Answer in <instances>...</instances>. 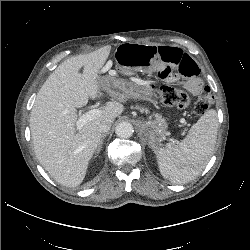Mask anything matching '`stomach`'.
<instances>
[{"label": "stomach", "instance_id": "obj_1", "mask_svg": "<svg viewBox=\"0 0 250 250\" xmlns=\"http://www.w3.org/2000/svg\"><path fill=\"white\" fill-rule=\"evenodd\" d=\"M100 88L101 90L106 91L111 96L116 97V98L132 97L135 99H147L151 97V89L149 86H146V85L125 86V85H121L114 78H101Z\"/></svg>", "mask_w": 250, "mask_h": 250}]
</instances>
